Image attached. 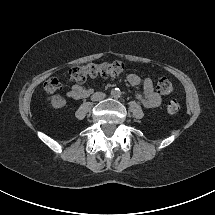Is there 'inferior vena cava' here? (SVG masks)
Listing matches in <instances>:
<instances>
[{"instance_id": "602c4592", "label": "inferior vena cava", "mask_w": 215, "mask_h": 215, "mask_svg": "<svg viewBox=\"0 0 215 215\" xmlns=\"http://www.w3.org/2000/svg\"><path fill=\"white\" fill-rule=\"evenodd\" d=\"M101 97H102V98H103V97H105V94H104V93H102V94H101Z\"/></svg>"}]
</instances>
